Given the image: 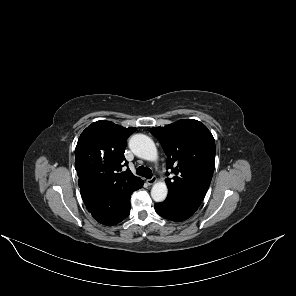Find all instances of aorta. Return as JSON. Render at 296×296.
<instances>
[{
  "instance_id": "1",
  "label": "aorta",
  "mask_w": 296,
  "mask_h": 296,
  "mask_svg": "<svg viewBox=\"0 0 296 296\" xmlns=\"http://www.w3.org/2000/svg\"><path fill=\"white\" fill-rule=\"evenodd\" d=\"M129 147L139 158L148 161H157L158 153L153 140L144 134H135L129 140ZM168 193L164 182H157L151 189V197L155 202H162L166 199Z\"/></svg>"
}]
</instances>
